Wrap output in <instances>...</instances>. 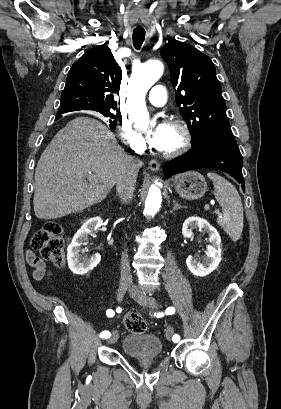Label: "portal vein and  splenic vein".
I'll return each instance as SVG.
<instances>
[{"mask_svg": "<svg viewBox=\"0 0 281 409\" xmlns=\"http://www.w3.org/2000/svg\"><path fill=\"white\" fill-rule=\"evenodd\" d=\"M100 181L103 183L105 180L102 178ZM213 213H214V214H218V213H219V210H218V209H214V210H213Z\"/></svg>", "mask_w": 281, "mask_h": 409, "instance_id": "18ae733b", "label": "portal vein and splenic vein"}]
</instances>
